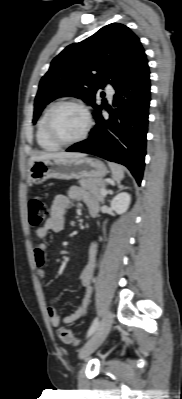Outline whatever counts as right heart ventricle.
Segmentation results:
<instances>
[{
	"label": "right heart ventricle",
	"instance_id": "e07e8e85",
	"mask_svg": "<svg viewBox=\"0 0 182 399\" xmlns=\"http://www.w3.org/2000/svg\"><path fill=\"white\" fill-rule=\"evenodd\" d=\"M54 104H50L49 106H47V108L44 110L38 125H37V130H36V140L38 145L46 150V151H54L57 150L59 148V145L56 144L55 142H53L47 135L46 132V119H47V115L50 111V109L52 108Z\"/></svg>",
	"mask_w": 182,
	"mask_h": 399
}]
</instances>
